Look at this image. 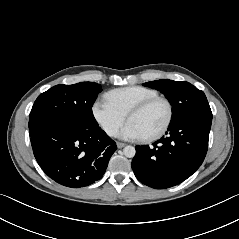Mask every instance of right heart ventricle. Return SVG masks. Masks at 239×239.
<instances>
[{
	"mask_svg": "<svg viewBox=\"0 0 239 239\" xmlns=\"http://www.w3.org/2000/svg\"><path fill=\"white\" fill-rule=\"evenodd\" d=\"M158 95L156 90L148 87L128 86L111 90L105 94L104 98L123 114L127 115L134 106Z\"/></svg>",
	"mask_w": 239,
	"mask_h": 239,
	"instance_id": "1",
	"label": "right heart ventricle"
}]
</instances>
